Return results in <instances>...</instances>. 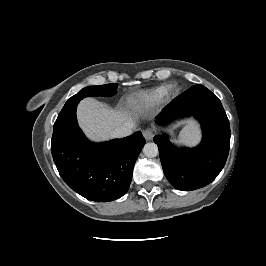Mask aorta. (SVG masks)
<instances>
[{
  "mask_svg": "<svg viewBox=\"0 0 266 266\" xmlns=\"http://www.w3.org/2000/svg\"><path fill=\"white\" fill-rule=\"evenodd\" d=\"M143 153L146 157L153 158L158 155V146L154 142L146 143L143 147Z\"/></svg>",
  "mask_w": 266,
  "mask_h": 266,
  "instance_id": "762f6f07",
  "label": "aorta"
}]
</instances>
